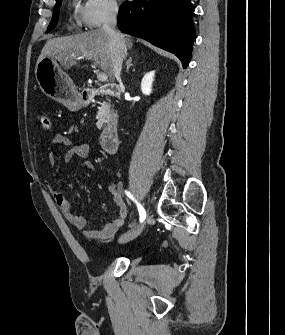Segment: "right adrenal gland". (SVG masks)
Wrapping results in <instances>:
<instances>
[{"label":"right adrenal gland","mask_w":285,"mask_h":335,"mask_svg":"<svg viewBox=\"0 0 285 335\" xmlns=\"http://www.w3.org/2000/svg\"><path fill=\"white\" fill-rule=\"evenodd\" d=\"M125 66H126V72H129V68H131V66H133L132 58H129V60H127Z\"/></svg>","instance_id":"2a0ac1e0"}]
</instances>
